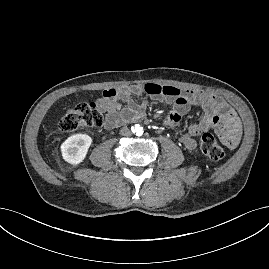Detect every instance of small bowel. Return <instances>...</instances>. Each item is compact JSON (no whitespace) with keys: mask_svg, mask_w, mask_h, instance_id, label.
<instances>
[{"mask_svg":"<svg viewBox=\"0 0 269 269\" xmlns=\"http://www.w3.org/2000/svg\"><path fill=\"white\" fill-rule=\"evenodd\" d=\"M143 92L153 99L171 103L173 110L167 114L164 124L169 127L178 125L183 115L192 106H200L204 116L199 122L188 126V133L181 137V142L188 150H194L197 143L194 136L213 130L229 148L238 146L241 139V122L236 112L220 97L202 90H186L173 86H161L154 83L132 85L124 89L108 88L98 100L99 108L106 113L104 127L113 129L123 123L134 122L144 116L146 102H136L131 96ZM127 104L126 107L122 103Z\"/></svg>","mask_w":269,"mask_h":269,"instance_id":"small-bowel-1","label":"small bowel"}]
</instances>
